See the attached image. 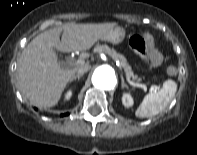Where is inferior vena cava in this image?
Wrapping results in <instances>:
<instances>
[{
    "instance_id": "inferior-vena-cava-1",
    "label": "inferior vena cava",
    "mask_w": 197,
    "mask_h": 155,
    "mask_svg": "<svg viewBox=\"0 0 197 155\" xmlns=\"http://www.w3.org/2000/svg\"><path fill=\"white\" fill-rule=\"evenodd\" d=\"M90 69V66L89 65H84V66H81L77 69V74L78 75H83L84 73H86L88 70Z\"/></svg>"
}]
</instances>
